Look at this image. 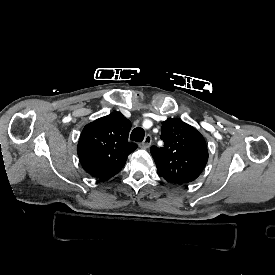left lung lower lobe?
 Here are the masks:
<instances>
[{"label":"left lung lower lobe","instance_id":"1","mask_svg":"<svg viewBox=\"0 0 275 275\" xmlns=\"http://www.w3.org/2000/svg\"><path fill=\"white\" fill-rule=\"evenodd\" d=\"M158 172V171H157ZM158 175L159 176H162L167 182H170V180L166 177V176H164L163 174H161L160 172H158ZM171 183V182H170Z\"/></svg>","mask_w":275,"mask_h":275}]
</instances>
